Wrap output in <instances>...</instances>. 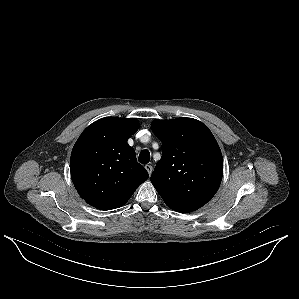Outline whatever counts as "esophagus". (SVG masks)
Instances as JSON below:
<instances>
[{
    "instance_id": "obj_1",
    "label": "esophagus",
    "mask_w": 299,
    "mask_h": 299,
    "mask_svg": "<svg viewBox=\"0 0 299 299\" xmlns=\"http://www.w3.org/2000/svg\"><path fill=\"white\" fill-rule=\"evenodd\" d=\"M145 169L147 170L148 174L151 175L153 172V167L150 164L145 165Z\"/></svg>"
}]
</instances>
